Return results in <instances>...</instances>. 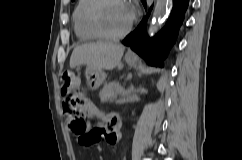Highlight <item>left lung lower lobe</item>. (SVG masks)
I'll return each instance as SVG.
<instances>
[{
    "label": "left lung lower lobe",
    "mask_w": 242,
    "mask_h": 160,
    "mask_svg": "<svg viewBox=\"0 0 242 160\" xmlns=\"http://www.w3.org/2000/svg\"><path fill=\"white\" fill-rule=\"evenodd\" d=\"M146 8V0H141ZM189 0H173V9L169 19L163 30L157 38H149L146 36V19L142 20L137 28L126 36L122 43L129 46L148 64L155 66H163L162 60L167 56L170 48L176 41L179 28L183 22L185 12L188 8ZM150 8L147 17L150 14ZM158 48L159 58H153L155 48Z\"/></svg>",
    "instance_id": "1"
}]
</instances>
